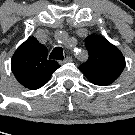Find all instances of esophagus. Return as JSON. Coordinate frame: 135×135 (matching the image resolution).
I'll return each mask as SVG.
<instances>
[{
  "label": "esophagus",
  "instance_id": "obj_1",
  "mask_svg": "<svg viewBox=\"0 0 135 135\" xmlns=\"http://www.w3.org/2000/svg\"><path fill=\"white\" fill-rule=\"evenodd\" d=\"M72 61H73L72 57L68 56L63 61H60V64L68 63V62H72Z\"/></svg>",
  "mask_w": 135,
  "mask_h": 135
}]
</instances>
